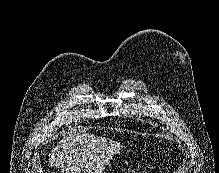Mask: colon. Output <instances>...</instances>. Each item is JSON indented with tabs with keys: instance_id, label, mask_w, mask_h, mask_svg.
Returning a JSON list of instances; mask_svg holds the SVG:
<instances>
[{
	"instance_id": "1",
	"label": "colon",
	"mask_w": 219,
	"mask_h": 173,
	"mask_svg": "<svg viewBox=\"0 0 219 173\" xmlns=\"http://www.w3.org/2000/svg\"><path fill=\"white\" fill-rule=\"evenodd\" d=\"M129 173H137V172H135V171H131V172H129Z\"/></svg>"
}]
</instances>
